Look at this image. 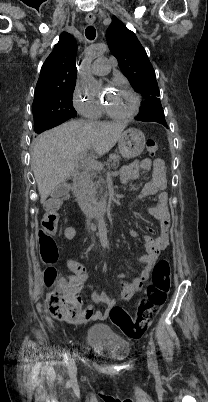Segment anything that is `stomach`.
Instances as JSON below:
<instances>
[{
    "label": "stomach",
    "instance_id": "obj_1",
    "mask_svg": "<svg viewBox=\"0 0 208 402\" xmlns=\"http://www.w3.org/2000/svg\"><path fill=\"white\" fill-rule=\"evenodd\" d=\"M118 146L119 152L123 158H127V160L137 158L145 148V136L140 130L129 128V130L121 134Z\"/></svg>",
    "mask_w": 208,
    "mask_h": 402
}]
</instances>
